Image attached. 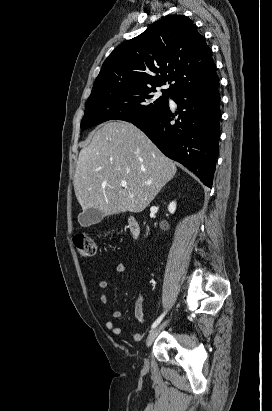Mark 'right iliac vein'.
Returning a JSON list of instances; mask_svg holds the SVG:
<instances>
[{"instance_id":"right-iliac-vein-1","label":"right iliac vein","mask_w":272,"mask_h":411,"mask_svg":"<svg viewBox=\"0 0 272 411\" xmlns=\"http://www.w3.org/2000/svg\"><path fill=\"white\" fill-rule=\"evenodd\" d=\"M167 323H168V320L164 321L159 327L153 329L149 333V335L146 339V346L147 347L151 346V344L153 343V341L155 340V338L157 337L159 332L167 325ZM144 364H145V367L148 366V360L147 359H144Z\"/></svg>"}]
</instances>
